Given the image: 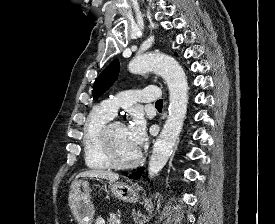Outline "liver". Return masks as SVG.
<instances>
[{"label": "liver", "instance_id": "6515ba94", "mask_svg": "<svg viewBox=\"0 0 275 224\" xmlns=\"http://www.w3.org/2000/svg\"><path fill=\"white\" fill-rule=\"evenodd\" d=\"M77 177H90V178L95 177V178L106 179L109 182H114L119 179V175L117 173H114L112 171L100 170V169L81 172L77 175Z\"/></svg>", "mask_w": 275, "mask_h": 224}]
</instances>
